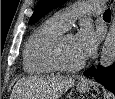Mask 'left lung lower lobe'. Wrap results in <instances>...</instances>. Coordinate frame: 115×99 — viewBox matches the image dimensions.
I'll list each match as a JSON object with an SVG mask.
<instances>
[{
	"mask_svg": "<svg viewBox=\"0 0 115 99\" xmlns=\"http://www.w3.org/2000/svg\"><path fill=\"white\" fill-rule=\"evenodd\" d=\"M84 75L94 76L98 82L115 94V65L108 68L99 66L97 70L92 66L84 72Z\"/></svg>",
	"mask_w": 115,
	"mask_h": 99,
	"instance_id": "left-lung-lower-lobe-1",
	"label": "left lung lower lobe"
}]
</instances>
